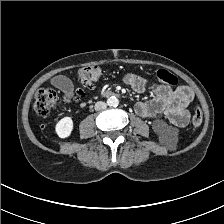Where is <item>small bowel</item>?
<instances>
[{
    "mask_svg": "<svg viewBox=\"0 0 224 224\" xmlns=\"http://www.w3.org/2000/svg\"><path fill=\"white\" fill-rule=\"evenodd\" d=\"M123 81L135 91L152 90L154 94L153 99L141 101L135 105V112L139 116L153 119L165 117L177 127L187 125L189 113L186 109L194 97L190 87L179 86L173 90L168 86L151 85L146 78L136 73H128ZM52 84L67 98L74 96L73 84L67 77L57 76L52 79Z\"/></svg>",
    "mask_w": 224,
    "mask_h": 224,
    "instance_id": "1",
    "label": "small bowel"
}]
</instances>
